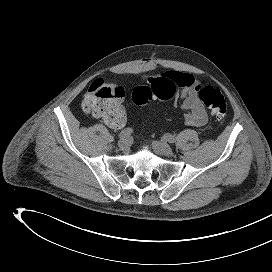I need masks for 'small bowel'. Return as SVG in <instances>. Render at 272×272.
Masks as SVG:
<instances>
[{
	"instance_id": "1",
	"label": "small bowel",
	"mask_w": 272,
	"mask_h": 272,
	"mask_svg": "<svg viewBox=\"0 0 272 272\" xmlns=\"http://www.w3.org/2000/svg\"><path fill=\"white\" fill-rule=\"evenodd\" d=\"M162 77L172 80L180 89L177 99L180 108L184 111V122L195 127L207 125L209 117L198 95V87L203 81L195 79L190 74L176 71L166 72L162 74ZM121 99L119 101V112L110 119H104L107 125L112 128H121L126 123V114L121 107Z\"/></svg>"
}]
</instances>
